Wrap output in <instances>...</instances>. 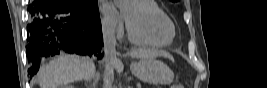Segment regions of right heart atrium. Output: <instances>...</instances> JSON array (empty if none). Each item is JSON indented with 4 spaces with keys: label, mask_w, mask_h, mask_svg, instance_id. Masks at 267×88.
Returning a JSON list of instances; mask_svg holds the SVG:
<instances>
[{
    "label": "right heart atrium",
    "mask_w": 267,
    "mask_h": 88,
    "mask_svg": "<svg viewBox=\"0 0 267 88\" xmlns=\"http://www.w3.org/2000/svg\"><path fill=\"white\" fill-rule=\"evenodd\" d=\"M102 30L106 37L119 38L123 34V27L119 21L111 17L102 20Z\"/></svg>",
    "instance_id": "d8ad5b80"
}]
</instances>
